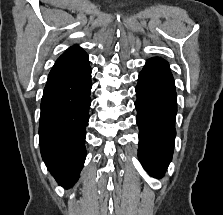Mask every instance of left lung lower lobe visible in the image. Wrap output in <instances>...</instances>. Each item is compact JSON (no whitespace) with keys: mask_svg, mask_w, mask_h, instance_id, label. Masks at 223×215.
Listing matches in <instances>:
<instances>
[{"mask_svg":"<svg viewBox=\"0 0 223 215\" xmlns=\"http://www.w3.org/2000/svg\"><path fill=\"white\" fill-rule=\"evenodd\" d=\"M138 155L150 175H164L173 154L177 113L174 79L163 59H148L136 86Z\"/></svg>","mask_w":223,"mask_h":215,"instance_id":"obj_1","label":"left lung lower lobe"}]
</instances>
